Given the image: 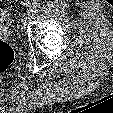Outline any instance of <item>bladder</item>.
I'll list each match as a JSON object with an SVG mask.
<instances>
[{
    "label": "bladder",
    "instance_id": "31cf9c89",
    "mask_svg": "<svg viewBox=\"0 0 113 113\" xmlns=\"http://www.w3.org/2000/svg\"><path fill=\"white\" fill-rule=\"evenodd\" d=\"M11 30L10 19L0 15V36L7 35Z\"/></svg>",
    "mask_w": 113,
    "mask_h": 113
}]
</instances>
